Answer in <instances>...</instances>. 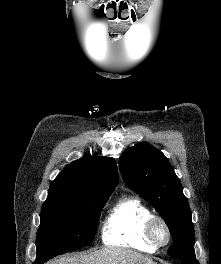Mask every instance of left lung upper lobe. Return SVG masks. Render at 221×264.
Returning a JSON list of instances; mask_svg holds the SVG:
<instances>
[{"mask_svg": "<svg viewBox=\"0 0 221 264\" xmlns=\"http://www.w3.org/2000/svg\"><path fill=\"white\" fill-rule=\"evenodd\" d=\"M119 168L127 186L149 202L168 225L173 239L168 255L195 257L192 213L180 180L164 154L141 142L121 155Z\"/></svg>", "mask_w": 221, "mask_h": 264, "instance_id": "obj_1", "label": "left lung upper lobe"}]
</instances>
